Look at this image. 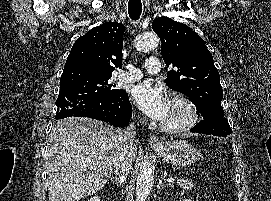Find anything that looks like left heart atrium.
I'll list each match as a JSON object with an SVG mask.
<instances>
[{
	"instance_id": "left-heart-atrium-1",
	"label": "left heart atrium",
	"mask_w": 271,
	"mask_h": 201,
	"mask_svg": "<svg viewBox=\"0 0 271 201\" xmlns=\"http://www.w3.org/2000/svg\"><path fill=\"white\" fill-rule=\"evenodd\" d=\"M134 103L147 116L163 121L169 112L170 102L161 87L153 86L150 82H143L132 90Z\"/></svg>"
}]
</instances>
